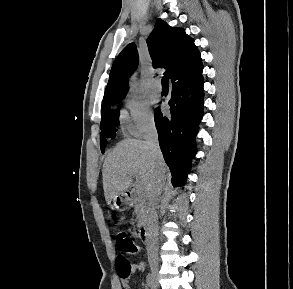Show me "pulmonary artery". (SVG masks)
Masks as SVG:
<instances>
[{
  "label": "pulmonary artery",
  "mask_w": 293,
  "mask_h": 289,
  "mask_svg": "<svg viewBox=\"0 0 293 289\" xmlns=\"http://www.w3.org/2000/svg\"><path fill=\"white\" fill-rule=\"evenodd\" d=\"M152 89L158 93H160L162 91V84L159 79H154L152 81Z\"/></svg>",
  "instance_id": "pulmonary-artery-1"
}]
</instances>
